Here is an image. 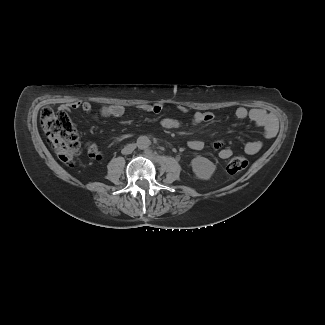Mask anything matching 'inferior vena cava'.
Wrapping results in <instances>:
<instances>
[{"label": "inferior vena cava", "instance_id": "602c4592", "mask_svg": "<svg viewBox=\"0 0 325 325\" xmlns=\"http://www.w3.org/2000/svg\"><path fill=\"white\" fill-rule=\"evenodd\" d=\"M135 148H136L135 144H129L122 149L121 153L124 155L131 154Z\"/></svg>", "mask_w": 325, "mask_h": 325}]
</instances>
